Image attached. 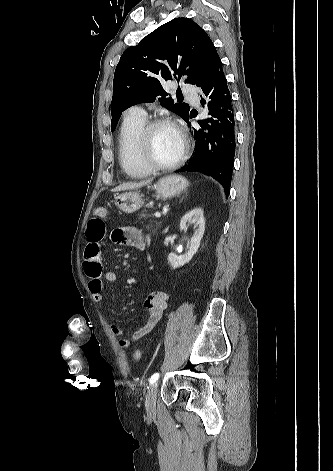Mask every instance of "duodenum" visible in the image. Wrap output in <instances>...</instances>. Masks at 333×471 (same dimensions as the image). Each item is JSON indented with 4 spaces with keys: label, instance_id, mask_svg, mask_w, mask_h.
I'll return each mask as SVG.
<instances>
[{
    "label": "duodenum",
    "instance_id": "410a0bca",
    "mask_svg": "<svg viewBox=\"0 0 333 471\" xmlns=\"http://www.w3.org/2000/svg\"><path fill=\"white\" fill-rule=\"evenodd\" d=\"M144 246H145V244H144V245H142V248H144Z\"/></svg>",
    "mask_w": 333,
    "mask_h": 471
}]
</instances>
